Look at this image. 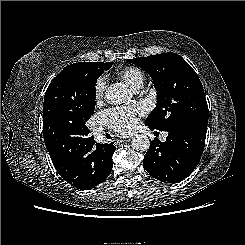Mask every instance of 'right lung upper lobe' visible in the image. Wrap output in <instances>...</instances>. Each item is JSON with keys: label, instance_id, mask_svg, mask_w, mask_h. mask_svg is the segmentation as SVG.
<instances>
[{"label": "right lung upper lobe", "instance_id": "right-lung-upper-lobe-1", "mask_svg": "<svg viewBox=\"0 0 245 245\" xmlns=\"http://www.w3.org/2000/svg\"><path fill=\"white\" fill-rule=\"evenodd\" d=\"M66 66L50 83L43 104L44 141L78 134V126L88 107L81 84L82 64Z\"/></svg>", "mask_w": 245, "mask_h": 245}]
</instances>
